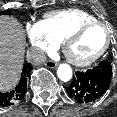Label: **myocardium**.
<instances>
[{
    "mask_svg": "<svg viewBox=\"0 0 117 117\" xmlns=\"http://www.w3.org/2000/svg\"><path fill=\"white\" fill-rule=\"evenodd\" d=\"M94 26H101L103 28L106 29L107 31V39L106 42L104 44V46L94 55H92L89 58L86 59H77L74 58L71 54H70V46L71 44L87 29L94 27ZM113 39V30L111 29V27L101 21H91V22H86L81 24L80 26H78L76 29H74L70 34H68L66 36V38L63 40V44H62V49L63 52L66 56V58L68 59V61L78 67H86L89 66L91 64H93L94 62H96L99 58H101L106 51L109 49L111 42Z\"/></svg>",
    "mask_w": 117,
    "mask_h": 117,
    "instance_id": "myocardium-1",
    "label": "myocardium"
}]
</instances>
